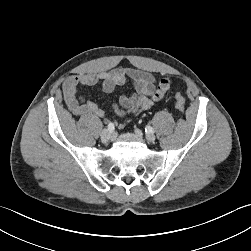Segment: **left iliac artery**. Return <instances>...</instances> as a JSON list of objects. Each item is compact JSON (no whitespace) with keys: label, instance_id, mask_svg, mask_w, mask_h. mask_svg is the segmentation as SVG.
Instances as JSON below:
<instances>
[{"label":"left iliac artery","instance_id":"left-iliac-artery-1","mask_svg":"<svg viewBox=\"0 0 251 251\" xmlns=\"http://www.w3.org/2000/svg\"><path fill=\"white\" fill-rule=\"evenodd\" d=\"M145 130H146V132H148V133H154L155 131H154V128L153 127H151V126H146V128H145Z\"/></svg>","mask_w":251,"mask_h":251}]
</instances>
